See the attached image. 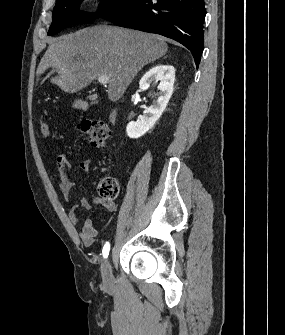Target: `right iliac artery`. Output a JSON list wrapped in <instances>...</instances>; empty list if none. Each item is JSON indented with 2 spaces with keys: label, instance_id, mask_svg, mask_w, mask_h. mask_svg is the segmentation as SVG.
Listing matches in <instances>:
<instances>
[{
  "label": "right iliac artery",
  "instance_id": "1",
  "mask_svg": "<svg viewBox=\"0 0 285 335\" xmlns=\"http://www.w3.org/2000/svg\"><path fill=\"white\" fill-rule=\"evenodd\" d=\"M109 250H110V244L107 242V243L104 245L103 250H102V253H103V257H104V258H107V257H108Z\"/></svg>",
  "mask_w": 285,
  "mask_h": 335
}]
</instances>
